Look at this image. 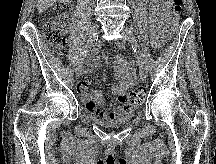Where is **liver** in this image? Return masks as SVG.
<instances>
[{"label":"liver","mask_w":216,"mask_h":164,"mask_svg":"<svg viewBox=\"0 0 216 164\" xmlns=\"http://www.w3.org/2000/svg\"><path fill=\"white\" fill-rule=\"evenodd\" d=\"M57 0H38V12L42 13L43 11L49 9L51 6H53Z\"/></svg>","instance_id":"6515ba94"}]
</instances>
